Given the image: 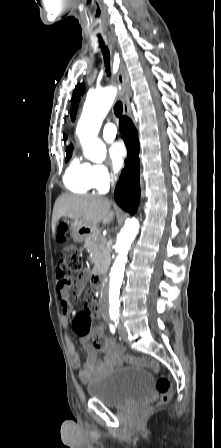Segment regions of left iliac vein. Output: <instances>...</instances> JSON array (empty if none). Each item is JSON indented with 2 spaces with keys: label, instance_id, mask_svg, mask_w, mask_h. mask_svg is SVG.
<instances>
[{
  "label": "left iliac vein",
  "instance_id": "left-iliac-vein-1",
  "mask_svg": "<svg viewBox=\"0 0 221 448\" xmlns=\"http://www.w3.org/2000/svg\"><path fill=\"white\" fill-rule=\"evenodd\" d=\"M118 329H119L120 337H121L124 341H127V331H126L125 326H124L122 323H120L119 326H118Z\"/></svg>",
  "mask_w": 221,
  "mask_h": 448
}]
</instances>
